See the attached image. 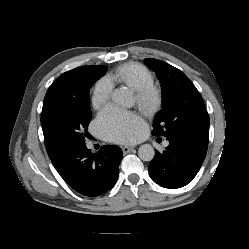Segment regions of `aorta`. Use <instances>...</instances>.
Instances as JSON below:
<instances>
[{
    "mask_svg": "<svg viewBox=\"0 0 249 249\" xmlns=\"http://www.w3.org/2000/svg\"><path fill=\"white\" fill-rule=\"evenodd\" d=\"M113 100L119 105L129 107L132 105V97L125 87L117 88L112 93ZM155 150L150 144H143L138 149V156L143 161H151L154 158Z\"/></svg>",
    "mask_w": 249,
    "mask_h": 249,
    "instance_id": "1",
    "label": "aorta"
}]
</instances>
